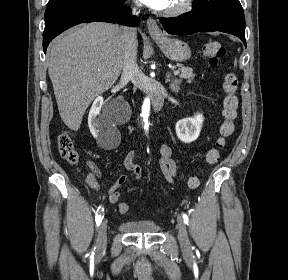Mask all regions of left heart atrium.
Masks as SVG:
<instances>
[{
    "label": "left heart atrium",
    "mask_w": 288,
    "mask_h": 280,
    "mask_svg": "<svg viewBox=\"0 0 288 280\" xmlns=\"http://www.w3.org/2000/svg\"><path fill=\"white\" fill-rule=\"evenodd\" d=\"M148 6L157 10H164L168 7L170 0H141Z\"/></svg>",
    "instance_id": "39dd6f15"
}]
</instances>
